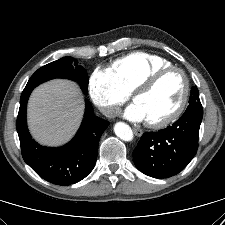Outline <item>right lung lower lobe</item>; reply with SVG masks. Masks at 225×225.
Returning <instances> with one entry per match:
<instances>
[{
  "label": "right lung lower lobe",
  "mask_w": 225,
  "mask_h": 225,
  "mask_svg": "<svg viewBox=\"0 0 225 225\" xmlns=\"http://www.w3.org/2000/svg\"><path fill=\"white\" fill-rule=\"evenodd\" d=\"M33 89H24L16 128L24 161L43 179L60 186H68L84 179L94 168L98 144L109 122L93 115L86 100L82 124L75 137L59 148L37 144L30 136L26 123V107Z\"/></svg>",
  "instance_id": "right-lung-lower-lobe-1"
}]
</instances>
